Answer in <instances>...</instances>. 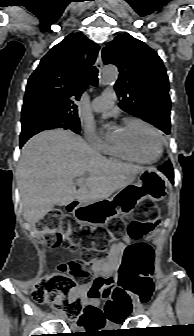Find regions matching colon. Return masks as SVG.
<instances>
[{
  "mask_svg": "<svg viewBox=\"0 0 194 336\" xmlns=\"http://www.w3.org/2000/svg\"><path fill=\"white\" fill-rule=\"evenodd\" d=\"M144 214L148 218L136 219L128 224L127 232L134 240L149 235L159 224L158 209L153 204H145ZM117 231L120 222H114ZM39 230L46 243L53 248L63 242L72 248H81L83 258L72 260L59 265V273L47 276L32 290V299L39 304L53 303L69 319L78 320L83 313V304L77 294L78 279L86 278L90 274L89 263L100 257L107 246V238L103 235L88 242L76 235L71 227L70 219L61 212H51L39 223ZM151 251L142 245H130L125 253L117 282L111 278L106 280L101 290L93 289L92 297L111 296L112 301L107 304L108 318L117 322L129 313L133 298L141 302L147 298L145 289H136L137 275L151 270ZM103 289V290H102Z\"/></svg>",
  "mask_w": 194,
  "mask_h": 336,
  "instance_id": "obj_1",
  "label": "colon"
}]
</instances>
